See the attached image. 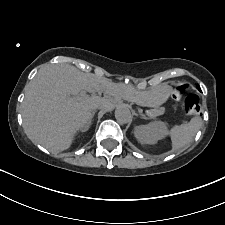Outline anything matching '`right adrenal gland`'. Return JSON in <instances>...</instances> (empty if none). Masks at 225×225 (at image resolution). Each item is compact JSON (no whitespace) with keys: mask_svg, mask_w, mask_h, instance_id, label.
I'll return each mask as SVG.
<instances>
[{"mask_svg":"<svg viewBox=\"0 0 225 225\" xmlns=\"http://www.w3.org/2000/svg\"><path fill=\"white\" fill-rule=\"evenodd\" d=\"M95 113H96V111L94 110L92 112L91 118L89 119V121L87 122V124L83 127V130H82L83 132H85V131H87L89 129V127H90V125L92 123V120L94 118Z\"/></svg>","mask_w":225,"mask_h":225,"instance_id":"2a0ac1e0","label":"right adrenal gland"}]
</instances>
